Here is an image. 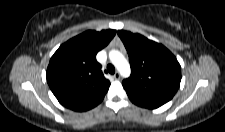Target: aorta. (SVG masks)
<instances>
[{
    "label": "aorta",
    "instance_id": "762f6f07",
    "mask_svg": "<svg viewBox=\"0 0 225 132\" xmlns=\"http://www.w3.org/2000/svg\"><path fill=\"white\" fill-rule=\"evenodd\" d=\"M109 59L117 68L122 77L127 78L130 76V65L121 52H119L118 50H111L109 52Z\"/></svg>",
    "mask_w": 225,
    "mask_h": 132
}]
</instances>
